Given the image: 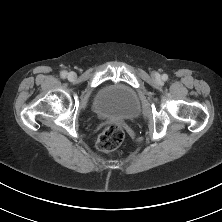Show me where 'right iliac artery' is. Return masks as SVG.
I'll return each instance as SVG.
<instances>
[{
	"label": "right iliac artery",
	"mask_w": 222,
	"mask_h": 222,
	"mask_svg": "<svg viewBox=\"0 0 222 222\" xmlns=\"http://www.w3.org/2000/svg\"><path fill=\"white\" fill-rule=\"evenodd\" d=\"M66 76H67V72H66V71H62V72H61V77H62V78H65Z\"/></svg>",
	"instance_id": "obj_1"
}]
</instances>
